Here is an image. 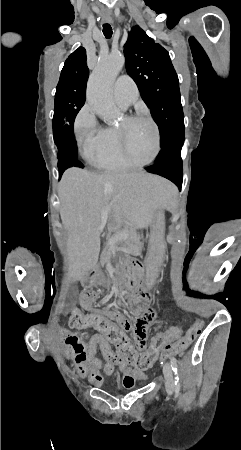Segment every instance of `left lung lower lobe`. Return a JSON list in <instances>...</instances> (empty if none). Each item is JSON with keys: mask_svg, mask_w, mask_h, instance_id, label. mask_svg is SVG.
Returning <instances> with one entry per match:
<instances>
[{"mask_svg": "<svg viewBox=\"0 0 241 450\" xmlns=\"http://www.w3.org/2000/svg\"><path fill=\"white\" fill-rule=\"evenodd\" d=\"M184 139V131L168 138L166 145L162 147L156 163L146 167L148 172L161 175L174 182L179 189L182 186V159L181 148Z\"/></svg>", "mask_w": 241, "mask_h": 450, "instance_id": "obj_1", "label": "left lung lower lobe"}]
</instances>
